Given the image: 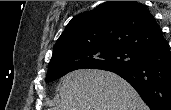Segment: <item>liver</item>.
Wrapping results in <instances>:
<instances>
[{"mask_svg": "<svg viewBox=\"0 0 171 110\" xmlns=\"http://www.w3.org/2000/svg\"><path fill=\"white\" fill-rule=\"evenodd\" d=\"M59 93L51 110H148L127 81L105 70L72 71L62 77Z\"/></svg>", "mask_w": 171, "mask_h": 110, "instance_id": "liver-1", "label": "liver"}]
</instances>
